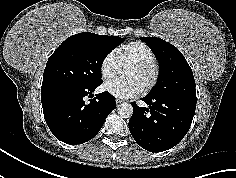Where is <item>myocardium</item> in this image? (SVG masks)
<instances>
[{
  "instance_id": "myocardium-1",
  "label": "myocardium",
  "mask_w": 236,
  "mask_h": 178,
  "mask_svg": "<svg viewBox=\"0 0 236 178\" xmlns=\"http://www.w3.org/2000/svg\"><path fill=\"white\" fill-rule=\"evenodd\" d=\"M128 67L137 68L151 74L149 81L143 87L144 92H148L156 86L160 76V70L156 64L148 62H133L129 64Z\"/></svg>"
}]
</instances>
